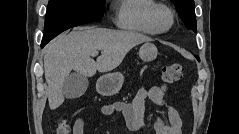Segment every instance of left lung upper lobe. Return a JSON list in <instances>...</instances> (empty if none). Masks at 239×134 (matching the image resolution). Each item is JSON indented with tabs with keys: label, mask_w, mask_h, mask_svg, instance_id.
<instances>
[{
	"label": "left lung upper lobe",
	"mask_w": 239,
	"mask_h": 134,
	"mask_svg": "<svg viewBox=\"0 0 239 134\" xmlns=\"http://www.w3.org/2000/svg\"><path fill=\"white\" fill-rule=\"evenodd\" d=\"M186 27L194 32L197 29L194 11V0H171ZM199 60V59H198Z\"/></svg>",
	"instance_id": "obj_1"
}]
</instances>
